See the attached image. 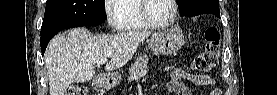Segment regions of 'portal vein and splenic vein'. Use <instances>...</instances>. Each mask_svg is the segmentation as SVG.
<instances>
[{
  "label": "portal vein and splenic vein",
  "instance_id": "portal-vein-and-splenic-vein-1",
  "mask_svg": "<svg viewBox=\"0 0 277 95\" xmlns=\"http://www.w3.org/2000/svg\"><path fill=\"white\" fill-rule=\"evenodd\" d=\"M106 62H107V58H104V59L100 60L99 62H97V65H100V64H103V63H106ZM146 73H147V71L144 70L139 74V76H144Z\"/></svg>",
  "mask_w": 277,
  "mask_h": 95
}]
</instances>
